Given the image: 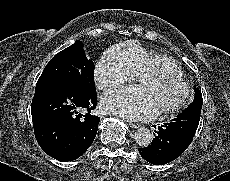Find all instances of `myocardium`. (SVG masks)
<instances>
[{
  "label": "myocardium",
  "mask_w": 230,
  "mask_h": 181,
  "mask_svg": "<svg viewBox=\"0 0 230 181\" xmlns=\"http://www.w3.org/2000/svg\"><path fill=\"white\" fill-rule=\"evenodd\" d=\"M153 80L173 82L182 89L181 97L174 104L156 109V113L172 114L185 106L190 97V88L183 77H177L167 72L151 71L140 77V83L137 88H143L146 82L150 83Z\"/></svg>",
  "instance_id": "obj_1"
}]
</instances>
